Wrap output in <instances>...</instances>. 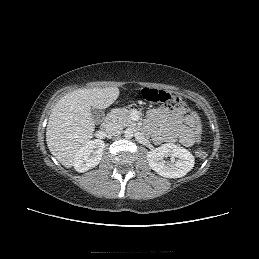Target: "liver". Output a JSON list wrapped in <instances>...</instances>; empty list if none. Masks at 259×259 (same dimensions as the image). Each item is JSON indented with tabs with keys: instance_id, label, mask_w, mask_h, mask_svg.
I'll use <instances>...</instances> for the list:
<instances>
[{
	"instance_id": "1",
	"label": "liver",
	"mask_w": 259,
	"mask_h": 259,
	"mask_svg": "<svg viewBox=\"0 0 259 259\" xmlns=\"http://www.w3.org/2000/svg\"><path fill=\"white\" fill-rule=\"evenodd\" d=\"M118 96L117 87L83 88L69 92L55 104L47 124L46 141L63 166L72 167L76 152L93 136L91 108L106 109Z\"/></svg>"
}]
</instances>
